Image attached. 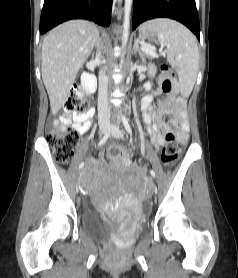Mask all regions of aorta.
<instances>
[{"mask_svg":"<svg viewBox=\"0 0 238 278\" xmlns=\"http://www.w3.org/2000/svg\"><path fill=\"white\" fill-rule=\"evenodd\" d=\"M133 0H125L124 4V20H123V34H122V47H125L129 37L130 29V12ZM123 63V60H121Z\"/></svg>","mask_w":238,"mask_h":278,"instance_id":"762f6f07","label":"aorta"}]
</instances>
